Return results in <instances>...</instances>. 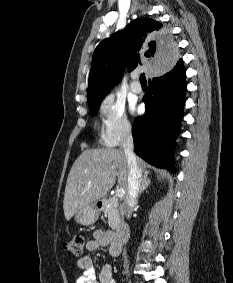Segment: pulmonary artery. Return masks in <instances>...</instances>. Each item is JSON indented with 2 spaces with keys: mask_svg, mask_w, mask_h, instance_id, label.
<instances>
[{
  "mask_svg": "<svg viewBox=\"0 0 233 283\" xmlns=\"http://www.w3.org/2000/svg\"><path fill=\"white\" fill-rule=\"evenodd\" d=\"M132 78H133V82H132V84H131V90H132V92H134V93H136V94L141 93L142 87H141V85H140L139 82H138V74H137V73L133 74V75H132Z\"/></svg>",
  "mask_w": 233,
  "mask_h": 283,
  "instance_id": "e3ab8cb5",
  "label": "pulmonary artery"
}]
</instances>
